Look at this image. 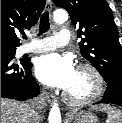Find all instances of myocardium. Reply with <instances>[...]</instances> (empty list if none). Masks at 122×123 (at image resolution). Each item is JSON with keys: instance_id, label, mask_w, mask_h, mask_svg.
I'll return each instance as SVG.
<instances>
[{"instance_id": "f54148a6", "label": "myocardium", "mask_w": 122, "mask_h": 123, "mask_svg": "<svg viewBox=\"0 0 122 123\" xmlns=\"http://www.w3.org/2000/svg\"><path fill=\"white\" fill-rule=\"evenodd\" d=\"M77 70L78 71L85 70L93 75L95 79L94 90L89 95L80 98L74 97L66 91L64 93V98L68 103L72 105L82 106L91 103L92 101L100 97V95L103 93L105 88V80L102 73L95 66L91 64L88 63L80 64L78 65Z\"/></svg>"}]
</instances>
